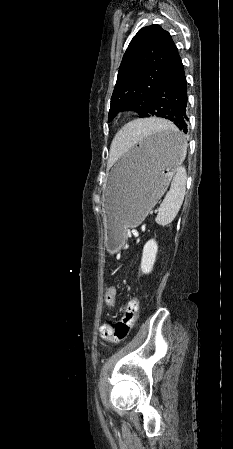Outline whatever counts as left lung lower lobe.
Masks as SVG:
<instances>
[{"mask_svg":"<svg viewBox=\"0 0 233 449\" xmlns=\"http://www.w3.org/2000/svg\"><path fill=\"white\" fill-rule=\"evenodd\" d=\"M187 100V82L184 67L180 61L153 94L144 117L157 116L168 119L181 131L187 133ZM157 139L170 146H177L183 141L182 136L168 134L160 135Z\"/></svg>","mask_w":233,"mask_h":449,"instance_id":"left-lung-lower-lobe-1","label":"left lung lower lobe"}]
</instances>
